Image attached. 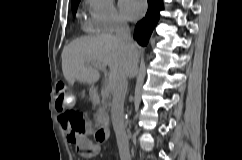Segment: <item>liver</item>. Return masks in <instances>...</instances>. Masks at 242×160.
Returning a JSON list of instances; mask_svg holds the SVG:
<instances>
[{
  "instance_id": "1",
  "label": "liver",
  "mask_w": 242,
  "mask_h": 160,
  "mask_svg": "<svg viewBox=\"0 0 242 160\" xmlns=\"http://www.w3.org/2000/svg\"><path fill=\"white\" fill-rule=\"evenodd\" d=\"M136 63L141 54L136 45ZM127 50L114 35H100L96 37H81L62 51V71L66 81L73 85L75 81L94 84L100 78L96 65L109 67V86L113 91L119 68H123ZM135 75V73H133Z\"/></svg>"
}]
</instances>
